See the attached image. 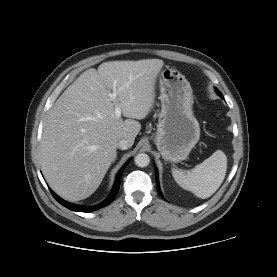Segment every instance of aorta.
Returning a JSON list of instances; mask_svg holds the SVG:
<instances>
[{
  "instance_id": "obj_1",
  "label": "aorta",
  "mask_w": 277,
  "mask_h": 277,
  "mask_svg": "<svg viewBox=\"0 0 277 277\" xmlns=\"http://www.w3.org/2000/svg\"><path fill=\"white\" fill-rule=\"evenodd\" d=\"M134 161L138 167H146L150 163V157L145 153H141L135 156Z\"/></svg>"
}]
</instances>
